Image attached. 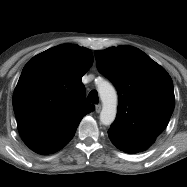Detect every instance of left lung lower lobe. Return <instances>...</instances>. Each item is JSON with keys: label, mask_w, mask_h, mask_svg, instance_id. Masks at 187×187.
Returning <instances> with one entry per match:
<instances>
[{"label": "left lung lower lobe", "mask_w": 187, "mask_h": 187, "mask_svg": "<svg viewBox=\"0 0 187 187\" xmlns=\"http://www.w3.org/2000/svg\"><path fill=\"white\" fill-rule=\"evenodd\" d=\"M108 135L112 143L117 148L127 153H137V152L144 151L151 144H153V143H149L146 137L136 136L138 138H142L145 141L142 144H138V143L129 141V138L135 135H129V134H123V133H110V132H108Z\"/></svg>", "instance_id": "1"}]
</instances>
